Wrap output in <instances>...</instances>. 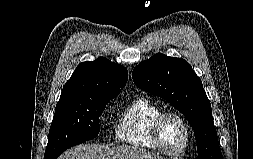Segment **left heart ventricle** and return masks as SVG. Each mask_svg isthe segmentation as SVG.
Segmentation results:
<instances>
[{"instance_id":"b2bd125f","label":"left heart ventricle","mask_w":253,"mask_h":159,"mask_svg":"<svg viewBox=\"0 0 253 159\" xmlns=\"http://www.w3.org/2000/svg\"><path fill=\"white\" fill-rule=\"evenodd\" d=\"M161 142L170 152H179L185 141L182 124L174 117L166 118L161 125Z\"/></svg>"}]
</instances>
